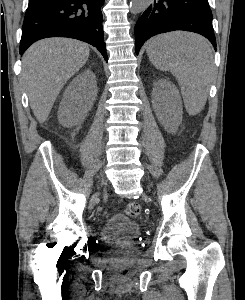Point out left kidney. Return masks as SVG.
<instances>
[{"mask_svg":"<svg viewBox=\"0 0 245 300\" xmlns=\"http://www.w3.org/2000/svg\"><path fill=\"white\" fill-rule=\"evenodd\" d=\"M152 105L158 120L171 131L180 124L182 117V102L175 85L165 79L154 83Z\"/></svg>","mask_w":245,"mask_h":300,"instance_id":"left-kidney-1","label":"left kidney"}]
</instances>
